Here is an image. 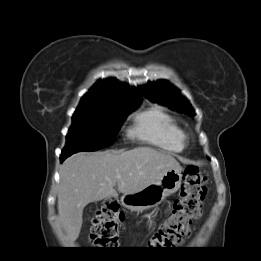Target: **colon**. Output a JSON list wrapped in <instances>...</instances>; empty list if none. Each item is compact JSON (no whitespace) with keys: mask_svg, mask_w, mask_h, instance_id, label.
Masks as SVG:
<instances>
[{"mask_svg":"<svg viewBox=\"0 0 261 261\" xmlns=\"http://www.w3.org/2000/svg\"><path fill=\"white\" fill-rule=\"evenodd\" d=\"M206 183V176L198 168L193 166L186 168L179 197L173 203L172 213L149 241L151 247L176 246L189 234L191 223L202 214L201 204L207 192ZM124 219L125 215L117 202L106 201L92 220L90 243L100 248H116Z\"/></svg>","mask_w":261,"mask_h":261,"instance_id":"5ec220e1","label":"colon"}]
</instances>
